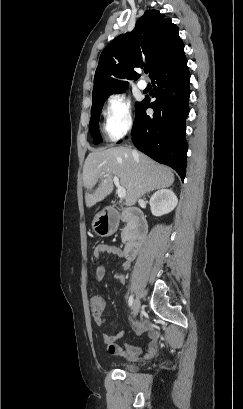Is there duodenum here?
I'll return each mask as SVG.
<instances>
[{
	"label": "duodenum",
	"mask_w": 243,
	"mask_h": 409,
	"mask_svg": "<svg viewBox=\"0 0 243 409\" xmlns=\"http://www.w3.org/2000/svg\"><path fill=\"white\" fill-rule=\"evenodd\" d=\"M108 210L111 214L115 213L113 207ZM133 222V228L130 232L129 240L124 248V254L127 259L135 258L142 246V243L147 235V221L143 213L138 209L130 210L126 215Z\"/></svg>",
	"instance_id": "obj_1"
}]
</instances>
